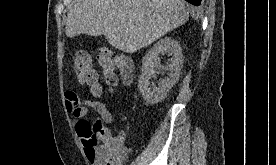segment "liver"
<instances>
[{"label":"liver","mask_w":276,"mask_h":165,"mask_svg":"<svg viewBox=\"0 0 276 165\" xmlns=\"http://www.w3.org/2000/svg\"><path fill=\"white\" fill-rule=\"evenodd\" d=\"M188 19L181 0H82L68 12L65 32L103 34L112 47L135 53Z\"/></svg>","instance_id":"liver-1"}]
</instances>
